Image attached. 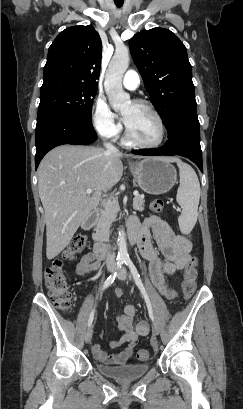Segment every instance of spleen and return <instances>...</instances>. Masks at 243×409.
I'll list each match as a JSON object with an SVG mask.
<instances>
[{"label": "spleen", "mask_w": 243, "mask_h": 409, "mask_svg": "<svg viewBox=\"0 0 243 409\" xmlns=\"http://www.w3.org/2000/svg\"><path fill=\"white\" fill-rule=\"evenodd\" d=\"M179 167L180 185L177 191V202L182 208L178 218L180 230L189 233L194 228L198 217V205L200 199V184L194 169L176 159Z\"/></svg>", "instance_id": "3e777b00"}]
</instances>
